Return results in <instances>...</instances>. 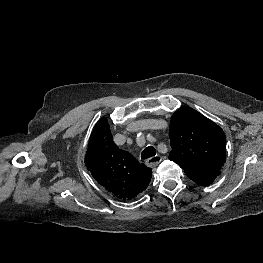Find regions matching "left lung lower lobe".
<instances>
[{
  "mask_svg": "<svg viewBox=\"0 0 263 263\" xmlns=\"http://www.w3.org/2000/svg\"><path fill=\"white\" fill-rule=\"evenodd\" d=\"M188 177L199 185H209L215 180L217 176L192 174L188 175Z\"/></svg>",
  "mask_w": 263,
  "mask_h": 263,
  "instance_id": "left-lung-lower-lobe-1",
  "label": "left lung lower lobe"
}]
</instances>
